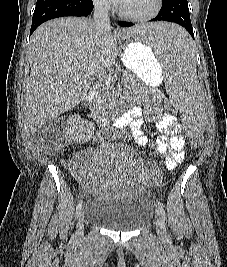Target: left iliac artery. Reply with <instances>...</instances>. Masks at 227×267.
<instances>
[{
    "mask_svg": "<svg viewBox=\"0 0 227 267\" xmlns=\"http://www.w3.org/2000/svg\"><path fill=\"white\" fill-rule=\"evenodd\" d=\"M158 209H159L160 213L162 214L163 218L166 219L164 206L161 202H158Z\"/></svg>",
    "mask_w": 227,
    "mask_h": 267,
    "instance_id": "obj_1",
    "label": "left iliac artery"
}]
</instances>
